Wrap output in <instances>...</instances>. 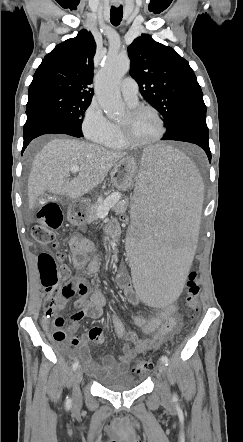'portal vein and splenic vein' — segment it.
Instances as JSON below:
<instances>
[{
  "label": "portal vein and splenic vein",
  "mask_w": 243,
  "mask_h": 442,
  "mask_svg": "<svg viewBox=\"0 0 243 442\" xmlns=\"http://www.w3.org/2000/svg\"><path fill=\"white\" fill-rule=\"evenodd\" d=\"M80 171V168L78 166H73L71 168L72 173H78ZM121 195L116 193L112 194L109 199H107L99 208L97 211L98 218H104L108 215L109 210L120 200Z\"/></svg>",
  "instance_id": "18ae733b"
}]
</instances>
